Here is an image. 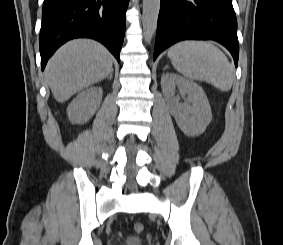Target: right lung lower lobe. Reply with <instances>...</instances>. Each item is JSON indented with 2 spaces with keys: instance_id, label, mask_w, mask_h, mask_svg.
Returning <instances> with one entry per match:
<instances>
[{
  "instance_id": "98d812e1",
  "label": "right lung lower lobe",
  "mask_w": 283,
  "mask_h": 245,
  "mask_svg": "<svg viewBox=\"0 0 283 245\" xmlns=\"http://www.w3.org/2000/svg\"><path fill=\"white\" fill-rule=\"evenodd\" d=\"M129 0H44L40 30L41 67L58 47L87 37L104 44L120 61Z\"/></svg>"
}]
</instances>
